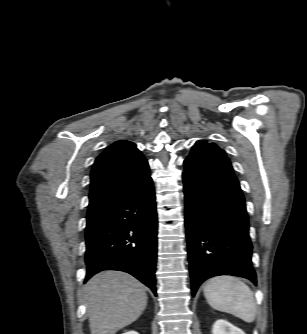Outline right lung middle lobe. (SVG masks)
<instances>
[{
  "label": "right lung middle lobe",
  "instance_id": "right-lung-middle-lobe-1",
  "mask_svg": "<svg viewBox=\"0 0 307 334\" xmlns=\"http://www.w3.org/2000/svg\"><path fill=\"white\" fill-rule=\"evenodd\" d=\"M92 218H87V222L90 221Z\"/></svg>",
  "mask_w": 307,
  "mask_h": 334
}]
</instances>
